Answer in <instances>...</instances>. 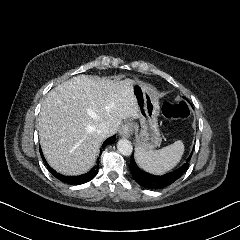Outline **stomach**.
Wrapping results in <instances>:
<instances>
[{
    "label": "stomach",
    "mask_w": 240,
    "mask_h": 240,
    "mask_svg": "<svg viewBox=\"0 0 240 240\" xmlns=\"http://www.w3.org/2000/svg\"><path fill=\"white\" fill-rule=\"evenodd\" d=\"M133 94L139 107L138 122H133L136 146L153 150L161 143L157 116L159 115V94L156 89L142 81L133 84Z\"/></svg>",
    "instance_id": "stomach-1"
}]
</instances>
